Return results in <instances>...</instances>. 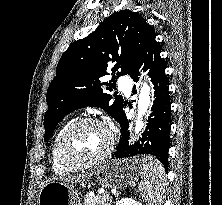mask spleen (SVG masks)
Here are the masks:
<instances>
[{
  "label": "spleen",
  "instance_id": "1",
  "mask_svg": "<svg viewBox=\"0 0 222 205\" xmlns=\"http://www.w3.org/2000/svg\"><path fill=\"white\" fill-rule=\"evenodd\" d=\"M141 184L139 190L147 205H161L166 184L162 164L154 157L140 158Z\"/></svg>",
  "mask_w": 222,
  "mask_h": 205
}]
</instances>
